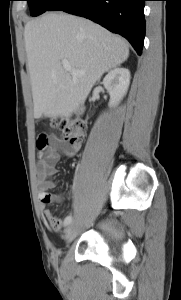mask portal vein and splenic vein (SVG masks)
Masks as SVG:
<instances>
[{
	"label": "portal vein and splenic vein",
	"instance_id": "1",
	"mask_svg": "<svg viewBox=\"0 0 181 300\" xmlns=\"http://www.w3.org/2000/svg\"><path fill=\"white\" fill-rule=\"evenodd\" d=\"M62 64H63L64 69L66 71H68L69 73H71V75L74 76V77L75 76H80V75L84 74V72L77 71V70L73 69L71 67V65L69 64V62H67V61H63Z\"/></svg>",
	"mask_w": 181,
	"mask_h": 300
}]
</instances>
